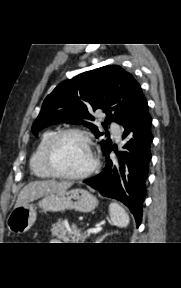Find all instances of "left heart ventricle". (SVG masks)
Here are the masks:
<instances>
[{
	"mask_svg": "<svg viewBox=\"0 0 181 288\" xmlns=\"http://www.w3.org/2000/svg\"><path fill=\"white\" fill-rule=\"evenodd\" d=\"M55 161L63 171L79 173L90 165V151L81 137L68 135L58 143L55 150Z\"/></svg>",
	"mask_w": 181,
	"mask_h": 288,
	"instance_id": "left-heart-ventricle-1",
	"label": "left heart ventricle"
}]
</instances>
